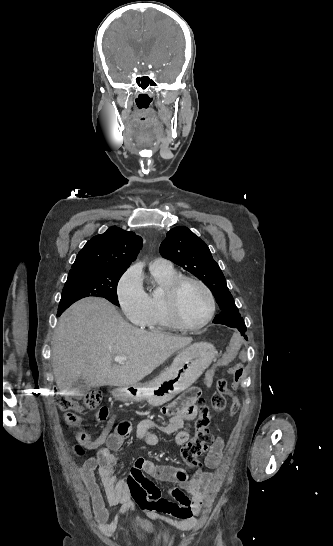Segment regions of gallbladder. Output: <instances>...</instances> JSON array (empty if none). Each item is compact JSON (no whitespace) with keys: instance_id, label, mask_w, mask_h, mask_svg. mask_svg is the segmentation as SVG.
<instances>
[{"instance_id":"obj_1","label":"gallbladder","mask_w":333,"mask_h":546,"mask_svg":"<svg viewBox=\"0 0 333 546\" xmlns=\"http://www.w3.org/2000/svg\"><path fill=\"white\" fill-rule=\"evenodd\" d=\"M73 387L76 389L79 396H83L87 391H89L91 389V387L88 384H86L84 379H82V378L78 379L74 383Z\"/></svg>"}]
</instances>
